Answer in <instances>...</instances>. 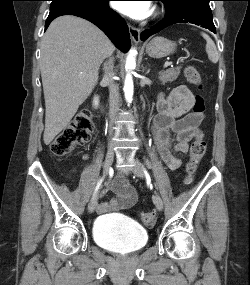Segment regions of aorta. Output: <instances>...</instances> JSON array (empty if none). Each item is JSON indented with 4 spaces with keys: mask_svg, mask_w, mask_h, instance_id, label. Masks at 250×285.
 I'll use <instances>...</instances> for the list:
<instances>
[{
    "mask_svg": "<svg viewBox=\"0 0 250 285\" xmlns=\"http://www.w3.org/2000/svg\"><path fill=\"white\" fill-rule=\"evenodd\" d=\"M137 51L135 49H130L127 59H126V69L129 70L125 77L124 82V93H125V99L128 103H131L132 97H133V79H132V69L136 65V57Z\"/></svg>",
    "mask_w": 250,
    "mask_h": 285,
    "instance_id": "1",
    "label": "aorta"
}]
</instances>
